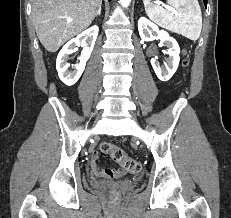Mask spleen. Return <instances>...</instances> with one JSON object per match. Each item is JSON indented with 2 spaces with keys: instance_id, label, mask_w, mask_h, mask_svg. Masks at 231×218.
Here are the masks:
<instances>
[{
  "instance_id": "spleen-1",
  "label": "spleen",
  "mask_w": 231,
  "mask_h": 218,
  "mask_svg": "<svg viewBox=\"0 0 231 218\" xmlns=\"http://www.w3.org/2000/svg\"><path fill=\"white\" fill-rule=\"evenodd\" d=\"M148 17L174 33L196 41L202 29V14L197 0H167L173 10L152 5L151 0H143Z\"/></svg>"
}]
</instances>
